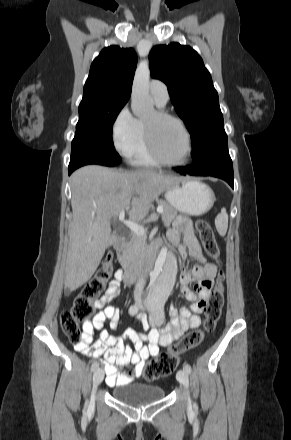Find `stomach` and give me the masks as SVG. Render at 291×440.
<instances>
[{
    "instance_id": "1",
    "label": "stomach",
    "mask_w": 291,
    "mask_h": 440,
    "mask_svg": "<svg viewBox=\"0 0 291 440\" xmlns=\"http://www.w3.org/2000/svg\"><path fill=\"white\" fill-rule=\"evenodd\" d=\"M167 202L179 212L201 216L213 206L216 198L213 190L194 179H180L165 191Z\"/></svg>"
}]
</instances>
